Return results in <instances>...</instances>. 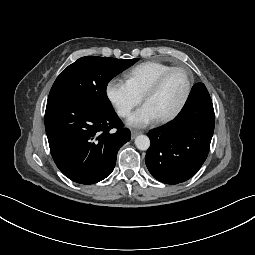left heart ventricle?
Instances as JSON below:
<instances>
[{"label":"left heart ventricle","instance_id":"left-heart-ventricle-1","mask_svg":"<svg viewBox=\"0 0 255 255\" xmlns=\"http://www.w3.org/2000/svg\"><path fill=\"white\" fill-rule=\"evenodd\" d=\"M187 87V77L182 71L173 72L161 89L150 96L146 103L151 105L158 117L170 114L181 102Z\"/></svg>","mask_w":255,"mask_h":255}]
</instances>
